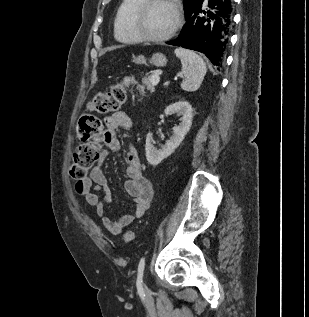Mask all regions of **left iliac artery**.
<instances>
[{
  "instance_id": "obj_1",
  "label": "left iliac artery",
  "mask_w": 309,
  "mask_h": 317,
  "mask_svg": "<svg viewBox=\"0 0 309 317\" xmlns=\"http://www.w3.org/2000/svg\"><path fill=\"white\" fill-rule=\"evenodd\" d=\"M145 268V258H141L138 265V275H137V287L140 290L142 287V277Z\"/></svg>"
}]
</instances>
